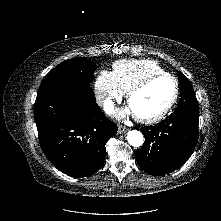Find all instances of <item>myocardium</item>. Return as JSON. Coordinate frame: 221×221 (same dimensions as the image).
Segmentation results:
<instances>
[{
	"label": "myocardium",
	"mask_w": 221,
	"mask_h": 221,
	"mask_svg": "<svg viewBox=\"0 0 221 221\" xmlns=\"http://www.w3.org/2000/svg\"><path fill=\"white\" fill-rule=\"evenodd\" d=\"M159 78H169L170 80H172V82L174 84L173 96L170 99V101L168 102V104L157 114H155L153 116H147V117L135 115L136 119L141 123L152 124V123H156V122L162 120L170 112V110L173 108V106L175 105V103L178 99L179 84H178L177 79L173 75H171L170 73L162 72V73H158V74H153V75L145 78L144 80H142L141 82H139L138 84L133 86L131 89H129L126 94L127 103L129 104L131 98L135 94L144 90L148 85H150L153 81H155Z\"/></svg>",
	"instance_id": "1"
}]
</instances>
